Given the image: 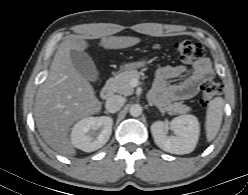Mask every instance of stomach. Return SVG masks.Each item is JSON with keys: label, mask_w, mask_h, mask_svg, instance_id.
Returning <instances> with one entry per match:
<instances>
[{"label": "stomach", "mask_w": 248, "mask_h": 195, "mask_svg": "<svg viewBox=\"0 0 248 195\" xmlns=\"http://www.w3.org/2000/svg\"><path fill=\"white\" fill-rule=\"evenodd\" d=\"M147 64L146 60H141V61H137V62H130V63H126L122 66V69L124 70H131V69H138V68H142Z\"/></svg>", "instance_id": "obj_1"}]
</instances>
